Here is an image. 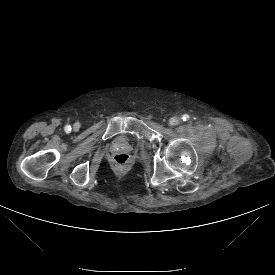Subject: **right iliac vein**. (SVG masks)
I'll list each match as a JSON object with an SVG mask.
<instances>
[{"mask_svg": "<svg viewBox=\"0 0 275 275\" xmlns=\"http://www.w3.org/2000/svg\"><path fill=\"white\" fill-rule=\"evenodd\" d=\"M77 126H78V125H77V124H75V125H74V128H77Z\"/></svg>", "mask_w": 275, "mask_h": 275, "instance_id": "1", "label": "right iliac vein"}]
</instances>
